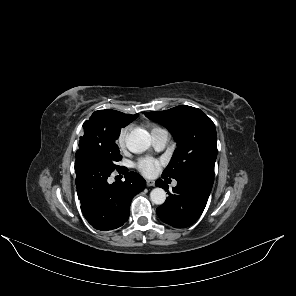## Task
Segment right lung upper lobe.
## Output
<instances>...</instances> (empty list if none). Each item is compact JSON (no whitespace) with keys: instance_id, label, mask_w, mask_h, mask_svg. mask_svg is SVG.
I'll return each instance as SVG.
<instances>
[{"instance_id":"right-lung-upper-lobe-1","label":"right lung upper lobe","mask_w":296,"mask_h":296,"mask_svg":"<svg viewBox=\"0 0 296 296\" xmlns=\"http://www.w3.org/2000/svg\"><path fill=\"white\" fill-rule=\"evenodd\" d=\"M137 117H138V114H135V115L124 114L122 112L109 110V109L99 110V111H95L92 114L90 119L83 124V127L87 130H93L97 127L106 128V127H109L116 120H123L128 122L129 124Z\"/></svg>"}]
</instances>
